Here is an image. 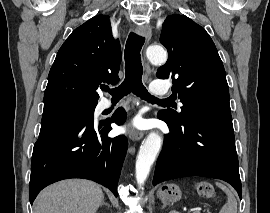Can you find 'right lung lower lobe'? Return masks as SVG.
I'll return each mask as SVG.
<instances>
[{
  "label": "right lung lower lobe",
  "instance_id": "1",
  "mask_svg": "<svg viewBox=\"0 0 270 213\" xmlns=\"http://www.w3.org/2000/svg\"><path fill=\"white\" fill-rule=\"evenodd\" d=\"M126 112L118 109L111 119L100 122L72 116L42 118L39 138L31 162L29 199L51 183L84 178L109 188L117 196V184L127 150V138L107 137L111 123L125 121Z\"/></svg>",
  "mask_w": 270,
  "mask_h": 213
}]
</instances>
